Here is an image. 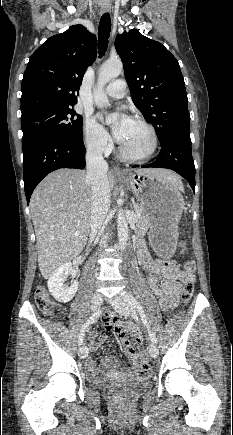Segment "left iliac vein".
<instances>
[{
	"instance_id": "4c4485c4",
	"label": "left iliac vein",
	"mask_w": 233,
	"mask_h": 435,
	"mask_svg": "<svg viewBox=\"0 0 233 435\" xmlns=\"http://www.w3.org/2000/svg\"><path fill=\"white\" fill-rule=\"evenodd\" d=\"M111 304L113 305V307L115 308V310L118 312V314L120 316H124L127 317L130 315V307L127 304V302L122 299L119 296H115L112 300H111ZM149 354L151 357H157L158 356V348L156 346V344L151 343L149 345L148 348Z\"/></svg>"
}]
</instances>
